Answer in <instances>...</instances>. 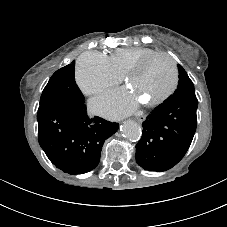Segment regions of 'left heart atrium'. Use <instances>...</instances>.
<instances>
[{"mask_svg":"<svg viewBox=\"0 0 227 227\" xmlns=\"http://www.w3.org/2000/svg\"><path fill=\"white\" fill-rule=\"evenodd\" d=\"M139 104V99L125 88L104 93L91 101V107L96 112L110 118H119L133 112Z\"/></svg>","mask_w":227,"mask_h":227,"instance_id":"39dd6f15","label":"left heart atrium"}]
</instances>
